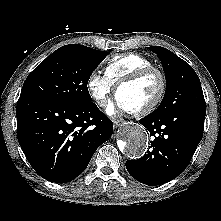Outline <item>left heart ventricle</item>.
Listing matches in <instances>:
<instances>
[{"label": "left heart ventricle", "instance_id": "b2bd125f", "mask_svg": "<svg viewBox=\"0 0 221 221\" xmlns=\"http://www.w3.org/2000/svg\"><path fill=\"white\" fill-rule=\"evenodd\" d=\"M160 89V80L156 74L122 87L117 97L128 110H136L148 105L157 96Z\"/></svg>", "mask_w": 221, "mask_h": 221}]
</instances>
